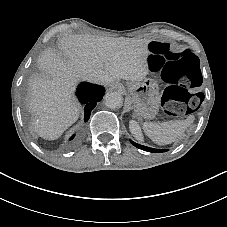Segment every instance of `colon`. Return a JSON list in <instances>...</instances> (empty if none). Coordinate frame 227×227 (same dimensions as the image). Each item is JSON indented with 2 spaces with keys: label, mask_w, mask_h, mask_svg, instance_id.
Returning a JSON list of instances; mask_svg holds the SVG:
<instances>
[{
  "label": "colon",
  "mask_w": 227,
  "mask_h": 227,
  "mask_svg": "<svg viewBox=\"0 0 227 227\" xmlns=\"http://www.w3.org/2000/svg\"><path fill=\"white\" fill-rule=\"evenodd\" d=\"M147 61L152 72L158 73L166 84L162 106L172 116L195 111L201 102L192 91L202 80L199 58L191 50L174 51L165 41L153 40L147 47Z\"/></svg>",
  "instance_id": "obj_1"
}]
</instances>
